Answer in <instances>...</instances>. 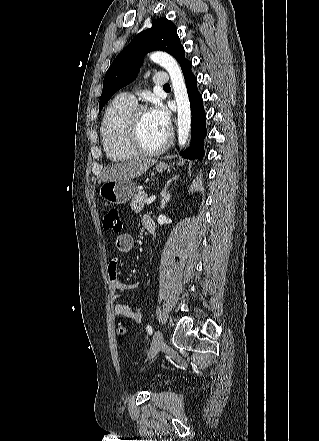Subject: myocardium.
Returning <instances> with one entry per match:
<instances>
[{"label":"myocardium","mask_w":319,"mask_h":441,"mask_svg":"<svg viewBox=\"0 0 319 441\" xmlns=\"http://www.w3.org/2000/svg\"><path fill=\"white\" fill-rule=\"evenodd\" d=\"M148 112L144 106H136L129 115L126 126V141L128 146L137 154L143 156H155L163 153L172 142L171 133H167L164 142L154 149H148L143 146L139 137L140 117L143 113Z\"/></svg>","instance_id":"1"}]
</instances>
